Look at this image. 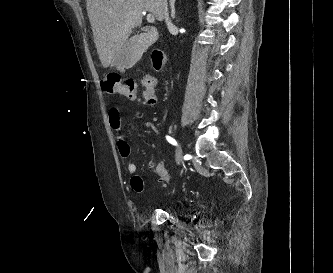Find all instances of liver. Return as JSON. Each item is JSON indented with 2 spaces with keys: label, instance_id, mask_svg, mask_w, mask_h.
<instances>
[{
  "label": "liver",
  "instance_id": "1",
  "mask_svg": "<svg viewBox=\"0 0 333 273\" xmlns=\"http://www.w3.org/2000/svg\"><path fill=\"white\" fill-rule=\"evenodd\" d=\"M162 0H86L94 43L103 67L113 65L132 30L147 11L163 21Z\"/></svg>",
  "mask_w": 333,
  "mask_h": 273
}]
</instances>
